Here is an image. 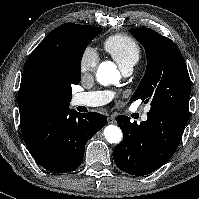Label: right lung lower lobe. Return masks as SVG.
Segmentation results:
<instances>
[{"label": "right lung lower lobe", "mask_w": 199, "mask_h": 199, "mask_svg": "<svg viewBox=\"0 0 199 199\" xmlns=\"http://www.w3.org/2000/svg\"><path fill=\"white\" fill-rule=\"evenodd\" d=\"M107 122V117L96 112L80 114L67 110L46 133L26 144L35 161L48 171L65 173L82 163L86 142Z\"/></svg>", "instance_id": "obj_1"}]
</instances>
